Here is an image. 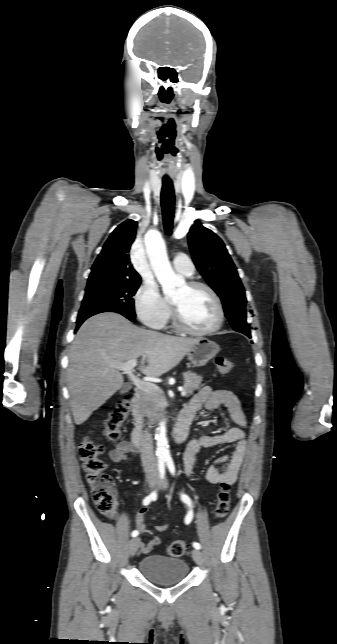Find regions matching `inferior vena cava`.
I'll return each mask as SVG.
<instances>
[{"label":"inferior vena cava","instance_id":"602c4592","mask_svg":"<svg viewBox=\"0 0 337 644\" xmlns=\"http://www.w3.org/2000/svg\"><path fill=\"white\" fill-rule=\"evenodd\" d=\"M141 461L146 474H158L157 461L154 455L153 441L148 430L143 431L141 446Z\"/></svg>","mask_w":337,"mask_h":644}]
</instances>
